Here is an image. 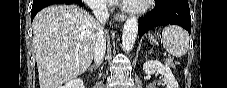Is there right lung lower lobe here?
Listing matches in <instances>:
<instances>
[{
  "mask_svg": "<svg viewBox=\"0 0 227 88\" xmlns=\"http://www.w3.org/2000/svg\"><path fill=\"white\" fill-rule=\"evenodd\" d=\"M57 3H71V4H75V5H81V1L72 2L71 0H33L31 20H33L35 15L44 7L51 5V4H57Z\"/></svg>",
  "mask_w": 227,
  "mask_h": 88,
  "instance_id": "right-lung-lower-lobe-1",
  "label": "right lung lower lobe"
}]
</instances>
